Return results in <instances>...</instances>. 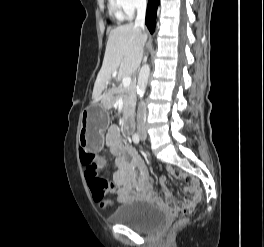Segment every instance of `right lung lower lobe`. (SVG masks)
Returning a JSON list of instances; mask_svg holds the SVG:
<instances>
[{"label":"right lung lower lobe","instance_id":"obj_1","mask_svg":"<svg viewBox=\"0 0 264 247\" xmlns=\"http://www.w3.org/2000/svg\"><path fill=\"white\" fill-rule=\"evenodd\" d=\"M158 4H159V0L148 1L145 23L151 33L154 32L156 25L155 21H156V12H157Z\"/></svg>","mask_w":264,"mask_h":247}]
</instances>
